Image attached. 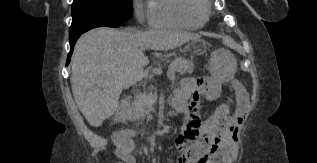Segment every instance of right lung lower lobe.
Wrapping results in <instances>:
<instances>
[{"label": "right lung lower lobe", "mask_w": 317, "mask_h": 163, "mask_svg": "<svg viewBox=\"0 0 317 163\" xmlns=\"http://www.w3.org/2000/svg\"><path fill=\"white\" fill-rule=\"evenodd\" d=\"M103 26H105V27H119V25H103ZM103 26H100V27H103ZM80 35H81V34H79V35H77V36H75V37H73V38H70V42H69V43H70V52H69V54H68V58H67V63H66V65H68L69 62H70V58H71V55H72V53H73L74 45H75L77 39L80 37Z\"/></svg>", "instance_id": "1"}]
</instances>
